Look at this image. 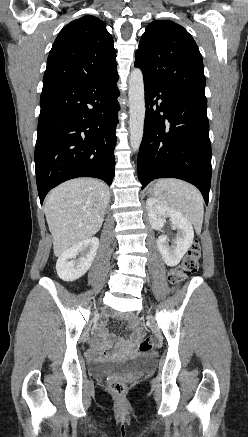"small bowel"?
Returning a JSON list of instances; mask_svg holds the SVG:
<instances>
[{
    "instance_id": "obj_1",
    "label": "small bowel",
    "mask_w": 248,
    "mask_h": 437,
    "mask_svg": "<svg viewBox=\"0 0 248 437\" xmlns=\"http://www.w3.org/2000/svg\"><path fill=\"white\" fill-rule=\"evenodd\" d=\"M140 335V329L135 327L130 338L121 341L115 340L114 337L101 331L99 335L101 341L93 347L91 354L93 356H104L111 354L112 352L132 351L134 350Z\"/></svg>"
}]
</instances>
